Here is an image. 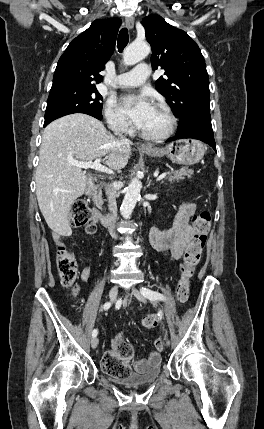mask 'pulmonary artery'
I'll return each instance as SVG.
<instances>
[{
    "instance_id": "pulmonary-artery-1",
    "label": "pulmonary artery",
    "mask_w": 264,
    "mask_h": 429,
    "mask_svg": "<svg viewBox=\"0 0 264 429\" xmlns=\"http://www.w3.org/2000/svg\"><path fill=\"white\" fill-rule=\"evenodd\" d=\"M150 75V68L147 64L137 65L132 71L119 74L114 85L118 87H133L143 84Z\"/></svg>"
}]
</instances>
